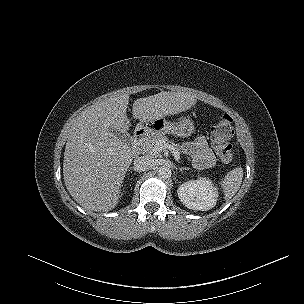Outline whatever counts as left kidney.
Here are the masks:
<instances>
[{"instance_id": "1", "label": "left kidney", "mask_w": 304, "mask_h": 304, "mask_svg": "<svg viewBox=\"0 0 304 304\" xmlns=\"http://www.w3.org/2000/svg\"><path fill=\"white\" fill-rule=\"evenodd\" d=\"M180 201L192 210L207 211L212 209L219 197L217 188L210 179L200 177L181 184L177 190Z\"/></svg>"}]
</instances>
